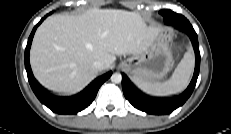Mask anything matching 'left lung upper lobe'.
<instances>
[{
	"instance_id": "5c2ea615",
	"label": "left lung upper lobe",
	"mask_w": 231,
	"mask_h": 134,
	"mask_svg": "<svg viewBox=\"0 0 231 134\" xmlns=\"http://www.w3.org/2000/svg\"><path fill=\"white\" fill-rule=\"evenodd\" d=\"M160 14L164 17L165 23H169V16L172 15V11L163 9L160 11Z\"/></svg>"
}]
</instances>
